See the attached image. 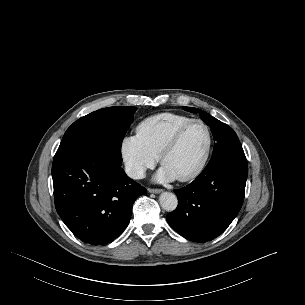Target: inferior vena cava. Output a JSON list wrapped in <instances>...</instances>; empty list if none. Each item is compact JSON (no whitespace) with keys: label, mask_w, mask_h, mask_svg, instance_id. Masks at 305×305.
Wrapping results in <instances>:
<instances>
[{"label":"inferior vena cava","mask_w":305,"mask_h":305,"mask_svg":"<svg viewBox=\"0 0 305 305\" xmlns=\"http://www.w3.org/2000/svg\"><path fill=\"white\" fill-rule=\"evenodd\" d=\"M125 172L132 179H142L146 176L145 169L140 165L127 164L125 166Z\"/></svg>","instance_id":"1"}]
</instances>
